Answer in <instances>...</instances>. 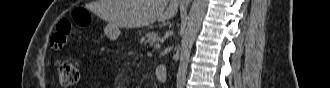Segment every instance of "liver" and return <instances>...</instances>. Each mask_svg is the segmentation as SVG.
Returning <instances> with one entry per match:
<instances>
[{"label": "liver", "mask_w": 330, "mask_h": 88, "mask_svg": "<svg viewBox=\"0 0 330 88\" xmlns=\"http://www.w3.org/2000/svg\"><path fill=\"white\" fill-rule=\"evenodd\" d=\"M178 6V0H100L97 13L110 25L138 28L171 19Z\"/></svg>", "instance_id": "obj_1"}]
</instances>
